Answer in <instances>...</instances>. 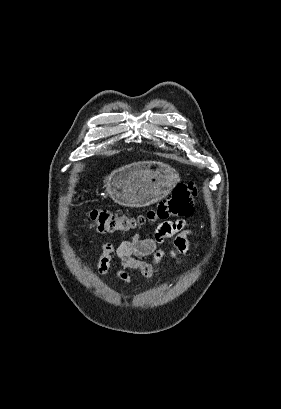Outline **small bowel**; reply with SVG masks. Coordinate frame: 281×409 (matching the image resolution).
Here are the masks:
<instances>
[{"label":"small bowel","instance_id":"c3829d8e","mask_svg":"<svg viewBox=\"0 0 281 409\" xmlns=\"http://www.w3.org/2000/svg\"><path fill=\"white\" fill-rule=\"evenodd\" d=\"M192 233L184 220L165 221L157 227L152 237L141 238L140 235L135 234L122 240L117 246L106 242L98 259V271L101 274L107 273L112 255H115L123 267L116 272L119 279L130 282L131 276L128 270H134L150 280L159 273V264L167 254L160 245L166 240H171L173 248L168 254L181 263L182 256L188 253V238ZM142 256H152V261L147 262L138 258Z\"/></svg>","mask_w":281,"mask_h":409}]
</instances>
